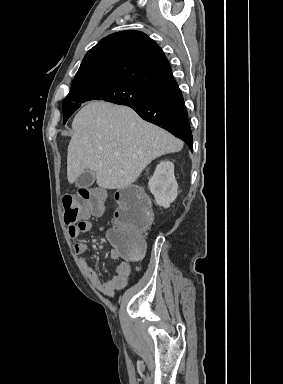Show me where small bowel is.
I'll list each match as a JSON object with an SVG mask.
<instances>
[{
    "instance_id": "small-bowel-1",
    "label": "small bowel",
    "mask_w": 283,
    "mask_h": 384,
    "mask_svg": "<svg viewBox=\"0 0 283 384\" xmlns=\"http://www.w3.org/2000/svg\"><path fill=\"white\" fill-rule=\"evenodd\" d=\"M92 230V224L88 220L80 222L76 226H69V236L72 239H77L81 234L87 233ZM100 230H103L100 228ZM87 251V244L83 241H77L74 244V252L78 256L81 267L92 285L98 289L101 293L112 296L114 293L124 288L133 274V266L130 261L121 259L115 250L111 251L113 259L118 261L116 273L112 277L103 280L100 276L93 271L85 259V253Z\"/></svg>"
}]
</instances>
